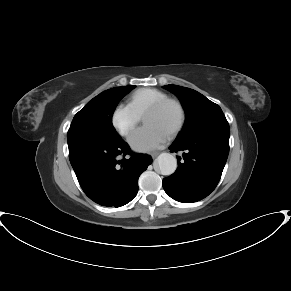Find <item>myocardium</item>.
<instances>
[{"label":"myocardium","mask_w":291,"mask_h":291,"mask_svg":"<svg viewBox=\"0 0 291 291\" xmlns=\"http://www.w3.org/2000/svg\"><path fill=\"white\" fill-rule=\"evenodd\" d=\"M167 105L175 106V108L177 109V112H178V121H177L176 125L173 127V129L169 133L171 136H173V135H176L177 133H179L182 130V128L185 125V121H186L185 109H184V107H183V105L181 104L180 101H178L176 99H173V98H168V97L164 98V99H161V100L149 105L145 109V111H144V113L142 115V119L144 121V117H145L146 114L160 111L163 108H165Z\"/></svg>","instance_id":"f54148a6"}]
</instances>
